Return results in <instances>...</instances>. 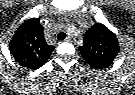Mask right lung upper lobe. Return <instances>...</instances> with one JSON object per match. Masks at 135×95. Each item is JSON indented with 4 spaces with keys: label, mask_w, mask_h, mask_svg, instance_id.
<instances>
[{
    "label": "right lung upper lobe",
    "mask_w": 135,
    "mask_h": 95,
    "mask_svg": "<svg viewBox=\"0 0 135 95\" xmlns=\"http://www.w3.org/2000/svg\"><path fill=\"white\" fill-rule=\"evenodd\" d=\"M9 50L21 66L38 69L48 61L54 47L46 43L40 19L33 18L15 31Z\"/></svg>",
    "instance_id": "obj_1"
}]
</instances>
